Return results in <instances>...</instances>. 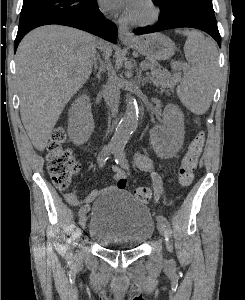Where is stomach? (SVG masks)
Masks as SVG:
<instances>
[{
    "mask_svg": "<svg viewBox=\"0 0 245 300\" xmlns=\"http://www.w3.org/2000/svg\"><path fill=\"white\" fill-rule=\"evenodd\" d=\"M129 45L151 60H167L175 52V45L162 33L141 36Z\"/></svg>",
    "mask_w": 245,
    "mask_h": 300,
    "instance_id": "obj_1",
    "label": "stomach"
}]
</instances>
